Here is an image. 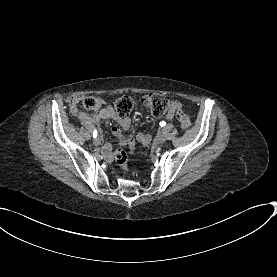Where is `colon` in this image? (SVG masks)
Listing matches in <instances>:
<instances>
[{"label": "colon", "mask_w": 277, "mask_h": 277, "mask_svg": "<svg viewBox=\"0 0 277 277\" xmlns=\"http://www.w3.org/2000/svg\"><path fill=\"white\" fill-rule=\"evenodd\" d=\"M99 97L98 94H85L84 106L87 108H95ZM114 111L120 118H125L129 115L133 108L141 107L146 112L154 116H163L173 107L172 99L160 93H147L141 96H119L112 100ZM175 117L179 122L181 129L187 130L190 127V119L181 108H175ZM131 148V145L126 142ZM115 160L123 169L127 168V151L123 148H118L115 152Z\"/></svg>", "instance_id": "obj_1"}]
</instances>
